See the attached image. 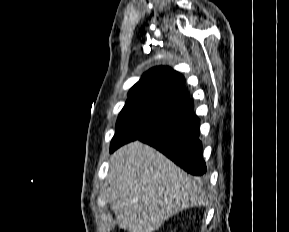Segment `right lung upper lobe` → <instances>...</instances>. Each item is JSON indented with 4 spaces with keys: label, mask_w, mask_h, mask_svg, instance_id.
Instances as JSON below:
<instances>
[{
    "label": "right lung upper lobe",
    "mask_w": 289,
    "mask_h": 232,
    "mask_svg": "<svg viewBox=\"0 0 289 232\" xmlns=\"http://www.w3.org/2000/svg\"><path fill=\"white\" fill-rule=\"evenodd\" d=\"M127 101H141L187 113L193 102L185 90L184 77L169 67L147 71L130 89Z\"/></svg>",
    "instance_id": "obj_1"
}]
</instances>
